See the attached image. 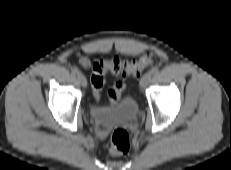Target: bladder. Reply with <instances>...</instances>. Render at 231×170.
<instances>
[{"instance_id":"1","label":"bladder","mask_w":231,"mask_h":170,"mask_svg":"<svg viewBox=\"0 0 231 170\" xmlns=\"http://www.w3.org/2000/svg\"><path fill=\"white\" fill-rule=\"evenodd\" d=\"M139 110L135 98L128 96L112 106L92 105L89 109L91 120L104 128H113L131 123Z\"/></svg>"}]
</instances>
